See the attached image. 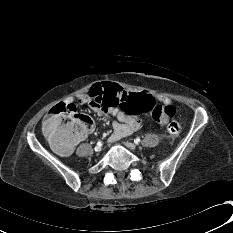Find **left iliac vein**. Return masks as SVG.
Segmentation results:
<instances>
[{
	"instance_id": "1",
	"label": "left iliac vein",
	"mask_w": 233,
	"mask_h": 233,
	"mask_svg": "<svg viewBox=\"0 0 233 233\" xmlns=\"http://www.w3.org/2000/svg\"><path fill=\"white\" fill-rule=\"evenodd\" d=\"M124 145L129 148L130 150H135L136 149V145L134 143H131V142H124Z\"/></svg>"
}]
</instances>
